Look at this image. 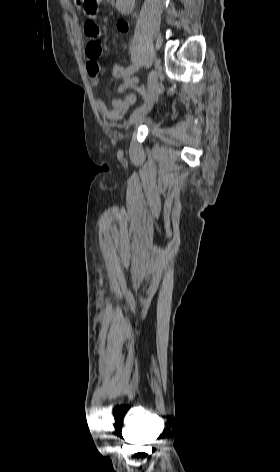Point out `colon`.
Returning <instances> with one entry per match:
<instances>
[{"mask_svg": "<svg viewBox=\"0 0 280 472\" xmlns=\"http://www.w3.org/2000/svg\"><path fill=\"white\" fill-rule=\"evenodd\" d=\"M100 1L101 0H74L75 4L82 8L89 17H93L97 14ZM124 70L122 65H115L112 69V74L116 79H121L123 78Z\"/></svg>", "mask_w": 280, "mask_h": 472, "instance_id": "obj_1", "label": "colon"}]
</instances>
